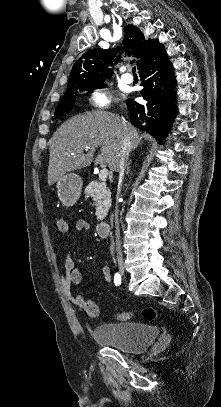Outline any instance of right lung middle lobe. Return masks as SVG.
Here are the masks:
<instances>
[{"mask_svg":"<svg viewBox=\"0 0 221 407\" xmlns=\"http://www.w3.org/2000/svg\"><path fill=\"white\" fill-rule=\"evenodd\" d=\"M106 85L105 84H100L94 87H90V88H82V89H75L72 91H68L65 93V95L63 96V98L60 100L58 107L56 108V111L54 113L55 118L57 117H62L65 116L67 113H69L75 103V99H76V93L77 91H91L93 89H99V88H104Z\"/></svg>","mask_w":221,"mask_h":407,"instance_id":"right-lung-middle-lobe-1","label":"right lung middle lobe"}]
</instances>
